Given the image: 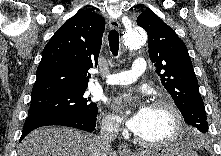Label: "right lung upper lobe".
Returning a JSON list of instances; mask_svg holds the SVG:
<instances>
[{
	"label": "right lung upper lobe",
	"mask_w": 221,
	"mask_h": 156,
	"mask_svg": "<svg viewBox=\"0 0 221 156\" xmlns=\"http://www.w3.org/2000/svg\"><path fill=\"white\" fill-rule=\"evenodd\" d=\"M104 29V18L87 10L69 18L43 50L31 100L86 89L87 71L97 66Z\"/></svg>",
	"instance_id": "right-lung-upper-lobe-1"
}]
</instances>
